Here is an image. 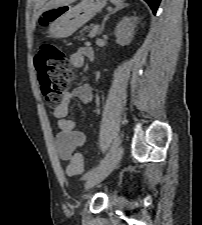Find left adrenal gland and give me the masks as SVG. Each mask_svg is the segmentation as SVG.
I'll return each mask as SVG.
<instances>
[{
	"label": "left adrenal gland",
	"mask_w": 202,
	"mask_h": 225,
	"mask_svg": "<svg viewBox=\"0 0 202 225\" xmlns=\"http://www.w3.org/2000/svg\"><path fill=\"white\" fill-rule=\"evenodd\" d=\"M124 6H120V7H116L114 10H112L108 15H106V17L104 18L103 22H102V25H101V28L98 32V35H101L102 32L104 31V27H105V23L106 21L108 20V18L110 17V15L116 13L118 10H120L121 8H123Z\"/></svg>",
	"instance_id": "1"
}]
</instances>
